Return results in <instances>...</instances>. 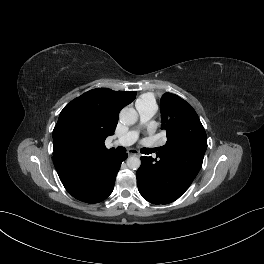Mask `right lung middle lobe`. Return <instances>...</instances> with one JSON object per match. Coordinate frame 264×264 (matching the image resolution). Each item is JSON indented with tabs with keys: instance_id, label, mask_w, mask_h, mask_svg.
Returning a JSON list of instances; mask_svg holds the SVG:
<instances>
[{
	"instance_id": "dd1d6c3e",
	"label": "right lung middle lobe",
	"mask_w": 264,
	"mask_h": 264,
	"mask_svg": "<svg viewBox=\"0 0 264 264\" xmlns=\"http://www.w3.org/2000/svg\"><path fill=\"white\" fill-rule=\"evenodd\" d=\"M79 125V119H78V116L77 115H73L69 121H68V126L70 128H77Z\"/></svg>"
}]
</instances>
